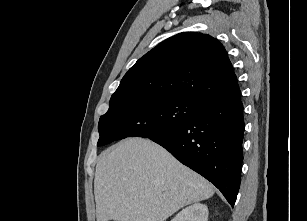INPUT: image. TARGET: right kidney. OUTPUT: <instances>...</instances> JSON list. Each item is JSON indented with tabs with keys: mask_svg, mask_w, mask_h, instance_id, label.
Listing matches in <instances>:
<instances>
[{
	"mask_svg": "<svg viewBox=\"0 0 307 221\" xmlns=\"http://www.w3.org/2000/svg\"><path fill=\"white\" fill-rule=\"evenodd\" d=\"M171 221H208V208L205 204L194 203L181 210Z\"/></svg>",
	"mask_w": 307,
	"mask_h": 221,
	"instance_id": "right-kidney-1",
	"label": "right kidney"
}]
</instances>
